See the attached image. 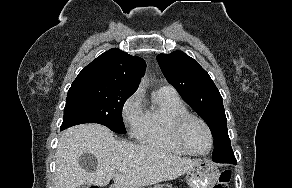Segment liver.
<instances>
[{"label":"liver","instance_id":"liver-1","mask_svg":"<svg viewBox=\"0 0 292 188\" xmlns=\"http://www.w3.org/2000/svg\"><path fill=\"white\" fill-rule=\"evenodd\" d=\"M84 153L94 155L93 171L79 163ZM199 161L160 148L116 140L104 126L82 124L66 129L59 138L54 188H77L82 184L103 187L111 179L113 188H140L175 179Z\"/></svg>","mask_w":292,"mask_h":188}]
</instances>
